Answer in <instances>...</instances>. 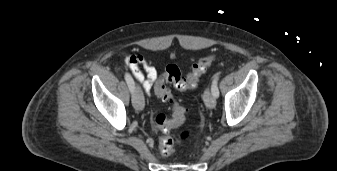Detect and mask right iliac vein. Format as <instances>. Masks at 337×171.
Wrapping results in <instances>:
<instances>
[{
  "label": "right iliac vein",
  "mask_w": 337,
  "mask_h": 171,
  "mask_svg": "<svg viewBox=\"0 0 337 171\" xmlns=\"http://www.w3.org/2000/svg\"><path fill=\"white\" fill-rule=\"evenodd\" d=\"M132 104L136 110L141 111L144 109L145 106L144 96L141 88L138 85L134 87V92L132 95Z\"/></svg>",
  "instance_id": "63e3f726"
}]
</instances>
